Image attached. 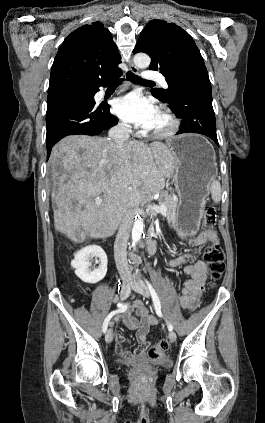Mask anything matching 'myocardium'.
<instances>
[{
  "label": "myocardium",
  "mask_w": 265,
  "mask_h": 423,
  "mask_svg": "<svg viewBox=\"0 0 265 423\" xmlns=\"http://www.w3.org/2000/svg\"><path fill=\"white\" fill-rule=\"evenodd\" d=\"M158 111L168 120V126L161 130H149V133L158 138H167L176 134L180 128L179 119L165 106H160Z\"/></svg>",
  "instance_id": "myocardium-1"
}]
</instances>
